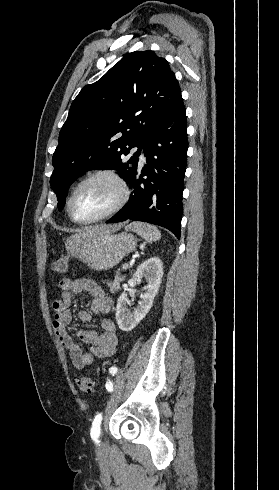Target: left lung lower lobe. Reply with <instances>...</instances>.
Segmentation results:
<instances>
[{"label":"left lung lower lobe","instance_id":"left-lung-lower-lobe-1","mask_svg":"<svg viewBox=\"0 0 279 490\" xmlns=\"http://www.w3.org/2000/svg\"><path fill=\"white\" fill-rule=\"evenodd\" d=\"M180 99L153 127L144 143L146 164L129 179L127 204L106 223L125 220L162 226L180 238L182 192L187 159V119ZM146 176V178H143Z\"/></svg>","mask_w":279,"mask_h":490}]
</instances>
